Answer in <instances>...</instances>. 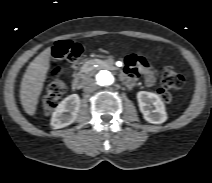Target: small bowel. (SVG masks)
<instances>
[{"mask_svg":"<svg viewBox=\"0 0 212 183\" xmlns=\"http://www.w3.org/2000/svg\"><path fill=\"white\" fill-rule=\"evenodd\" d=\"M138 76H142L148 87L156 83V73L149 62L140 55H129L126 59L124 79L128 87H133Z\"/></svg>","mask_w":212,"mask_h":183,"instance_id":"1","label":"small bowel"}]
</instances>
